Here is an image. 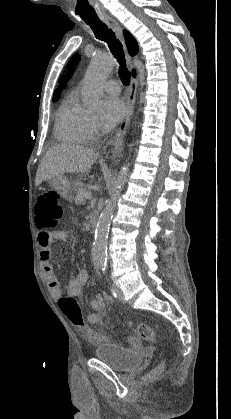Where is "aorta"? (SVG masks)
Returning a JSON list of instances; mask_svg holds the SVG:
<instances>
[{
  "label": "aorta",
  "instance_id": "762f6f07",
  "mask_svg": "<svg viewBox=\"0 0 231 419\" xmlns=\"http://www.w3.org/2000/svg\"><path fill=\"white\" fill-rule=\"evenodd\" d=\"M115 65L114 59L105 54L95 55L87 69L82 96L85 107L90 112H97L101 107V83L109 76ZM129 163L124 164L115 182V191L111 198L106 202L104 210L101 212L95 230V240L93 245V257L97 266H106L107 239L110 223L113 217L116 201L123 190L127 181Z\"/></svg>",
  "mask_w": 231,
  "mask_h": 419
}]
</instances>
